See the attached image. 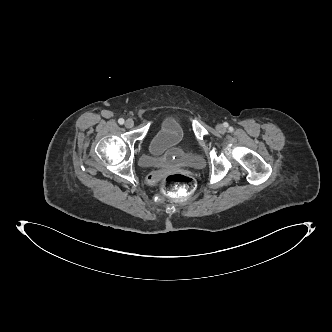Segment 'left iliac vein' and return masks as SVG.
<instances>
[{"instance_id":"obj_1","label":"left iliac vein","mask_w":332,"mask_h":332,"mask_svg":"<svg viewBox=\"0 0 332 332\" xmlns=\"http://www.w3.org/2000/svg\"><path fill=\"white\" fill-rule=\"evenodd\" d=\"M216 130L220 133H224L226 131L225 127L222 124H217Z\"/></svg>"}]
</instances>
